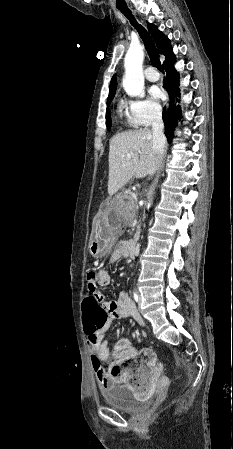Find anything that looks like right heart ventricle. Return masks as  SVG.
<instances>
[{
	"label": "right heart ventricle",
	"instance_id": "right-heart-ventricle-1",
	"mask_svg": "<svg viewBox=\"0 0 233 449\" xmlns=\"http://www.w3.org/2000/svg\"><path fill=\"white\" fill-rule=\"evenodd\" d=\"M117 112L121 117H123L126 125L130 127H137L139 125L135 117L133 116L131 104H128L126 101L119 100L117 104Z\"/></svg>",
	"mask_w": 233,
	"mask_h": 449
}]
</instances>
